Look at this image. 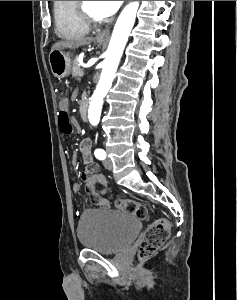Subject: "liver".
<instances>
[{"instance_id":"liver-1","label":"liver","mask_w":237,"mask_h":300,"mask_svg":"<svg viewBox=\"0 0 237 300\" xmlns=\"http://www.w3.org/2000/svg\"><path fill=\"white\" fill-rule=\"evenodd\" d=\"M94 41L93 37H82L79 41H75V43H71V41H59V43H55L52 47V51H61V49H78V47H82V45H88V43H92Z\"/></svg>"}]
</instances>
